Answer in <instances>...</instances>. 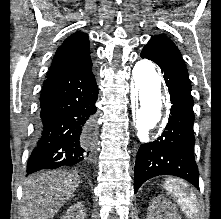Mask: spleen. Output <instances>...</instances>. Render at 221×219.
<instances>
[{
    "label": "spleen",
    "mask_w": 221,
    "mask_h": 219,
    "mask_svg": "<svg viewBox=\"0 0 221 219\" xmlns=\"http://www.w3.org/2000/svg\"><path fill=\"white\" fill-rule=\"evenodd\" d=\"M165 189L178 202L181 210L189 219H197L200 212L195 194L183 180L169 178L165 181Z\"/></svg>",
    "instance_id": "1"
}]
</instances>
